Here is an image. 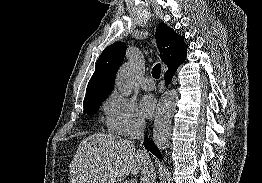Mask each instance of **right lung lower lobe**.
<instances>
[{
    "label": "right lung lower lobe",
    "instance_id": "1",
    "mask_svg": "<svg viewBox=\"0 0 262 183\" xmlns=\"http://www.w3.org/2000/svg\"><path fill=\"white\" fill-rule=\"evenodd\" d=\"M176 71H172V72H166L165 73V84L168 85V83L171 81L173 75L175 74ZM144 145L145 147L151 151L156 157L158 158H162V154L160 153V151L158 150V148L156 147L155 143L153 141H151L147 135H145V140H144Z\"/></svg>",
    "mask_w": 262,
    "mask_h": 183
}]
</instances>
